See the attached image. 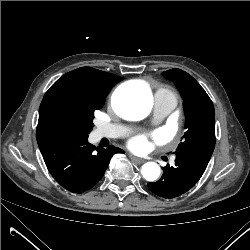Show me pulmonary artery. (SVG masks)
I'll use <instances>...</instances> for the list:
<instances>
[{"mask_svg":"<svg viewBox=\"0 0 250 250\" xmlns=\"http://www.w3.org/2000/svg\"><path fill=\"white\" fill-rule=\"evenodd\" d=\"M176 106V101L163 96H156L153 109V120L159 122L169 115ZM128 132V129L118 124H108L97 130L98 137H119Z\"/></svg>","mask_w":250,"mask_h":250,"instance_id":"1","label":"pulmonary artery"}]
</instances>
